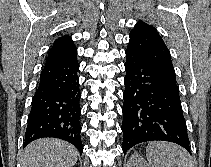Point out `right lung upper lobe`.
Listing matches in <instances>:
<instances>
[{"label": "right lung upper lobe", "instance_id": "cb5924a9", "mask_svg": "<svg viewBox=\"0 0 211 167\" xmlns=\"http://www.w3.org/2000/svg\"><path fill=\"white\" fill-rule=\"evenodd\" d=\"M77 55V48L74 45L71 36L64 35L54 41L48 56L46 58L45 65L60 62Z\"/></svg>", "mask_w": 211, "mask_h": 167}]
</instances>
